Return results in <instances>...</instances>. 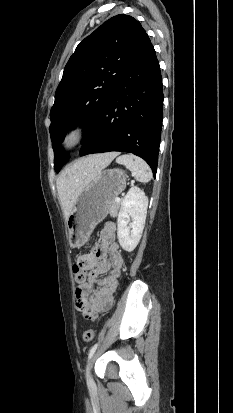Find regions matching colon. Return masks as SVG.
Masks as SVG:
<instances>
[{
	"instance_id": "obj_1",
	"label": "colon",
	"mask_w": 233,
	"mask_h": 413,
	"mask_svg": "<svg viewBox=\"0 0 233 413\" xmlns=\"http://www.w3.org/2000/svg\"><path fill=\"white\" fill-rule=\"evenodd\" d=\"M74 274H75V281L79 284L82 285L86 282L88 279V273L86 270L83 268L82 264L78 261L74 265ZM96 334V329L95 328H89L83 332V340L85 342H90L94 339Z\"/></svg>"
}]
</instances>
